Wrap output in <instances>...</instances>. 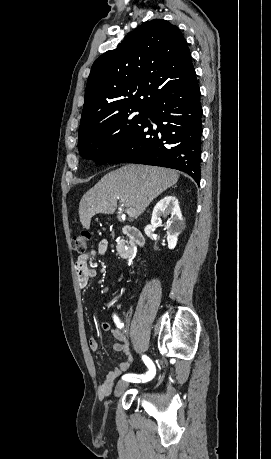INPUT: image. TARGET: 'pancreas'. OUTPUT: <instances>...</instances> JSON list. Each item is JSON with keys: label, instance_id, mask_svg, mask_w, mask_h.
Instances as JSON below:
<instances>
[{"label": "pancreas", "instance_id": "obj_1", "mask_svg": "<svg viewBox=\"0 0 271 459\" xmlns=\"http://www.w3.org/2000/svg\"><path fill=\"white\" fill-rule=\"evenodd\" d=\"M118 253H121L122 257H128L130 255L131 249H125L124 241H120L118 245H116Z\"/></svg>", "mask_w": 271, "mask_h": 459}]
</instances>
